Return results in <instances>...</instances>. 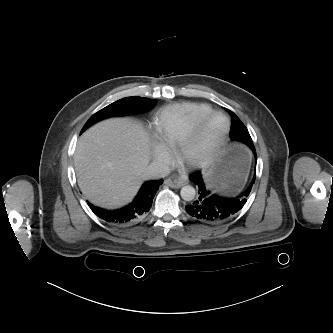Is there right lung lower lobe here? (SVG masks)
I'll list each match as a JSON object with an SVG mask.
<instances>
[{"mask_svg":"<svg viewBox=\"0 0 333 333\" xmlns=\"http://www.w3.org/2000/svg\"><path fill=\"white\" fill-rule=\"evenodd\" d=\"M162 183V179L145 182L133 202L121 209L106 210L89 202L88 205L98 217L108 223L118 226L134 224L149 212L153 198Z\"/></svg>","mask_w":333,"mask_h":333,"instance_id":"right-lung-lower-lobe-1","label":"right lung lower lobe"}]
</instances>
